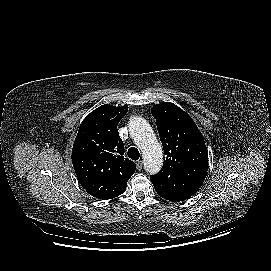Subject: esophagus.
Listing matches in <instances>:
<instances>
[{
    "label": "esophagus",
    "mask_w": 271,
    "mask_h": 271,
    "mask_svg": "<svg viewBox=\"0 0 271 271\" xmlns=\"http://www.w3.org/2000/svg\"><path fill=\"white\" fill-rule=\"evenodd\" d=\"M136 166H137V169L140 171L143 167V163H142V160H138L137 163H136Z\"/></svg>",
    "instance_id": "34e87169"
}]
</instances>
